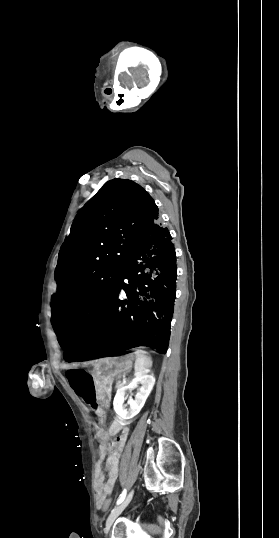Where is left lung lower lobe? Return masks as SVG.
Masks as SVG:
<instances>
[{
    "label": "left lung lower lobe",
    "instance_id": "obj_1",
    "mask_svg": "<svg viewBox=\"0 0 279 538\" xmlns=\"http://www.w3.org/2000/svg\"><path fill=\"white\" fill-rule=\"evenodd\" d=\"M157 221L134 248L94 327L84 335L58 334L66 361H86L138 346L166 353L176 294V255ZM129 280V284L124 283ZM121 289L127 299L120 300Z\"/></svg>",
    "mask_w": 279,
    "mask_h": 538
}]
</instances>
